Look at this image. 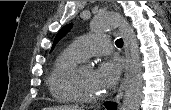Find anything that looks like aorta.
I'll return each instance as SVG.
<instances>
[{"label": "aorta", "instance_id": "obj_1", "mask_svg": "<svg viewBox=\"0 0 171 110\" xmlns=\"http://www.w3.org/2000/svg\"><path fill=\"white\" fill-rule=\"evenodd\" d=\"M91 27L94 32H105L119 28L128 39L130 58L124 83L122 110H139L142 97V67L139 44L135 32L125 18L116 13H105L96 16Z\"/></svg>", "mask_w": 171, "mask_h": 110}]
</instances>
